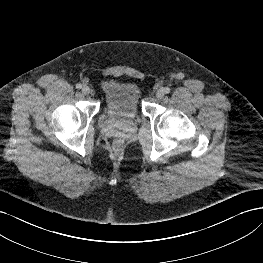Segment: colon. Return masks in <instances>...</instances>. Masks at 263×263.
<instances>
[{
	"mask_svg": "<svg viewBox=\"0 0 263 263\" xmlns=\"http://www.w3.org/2000/svg\"><path fill=\"white\" fill-rule=\"evenodd\" d=\"M121 144L119 142L116 143V148H119Z\"/></svg>",
	"mask_w": 263,
	"mask_h": 263,
	"instance_id": "5ec220e1",
	"label": "colon"
}]
</instances>
